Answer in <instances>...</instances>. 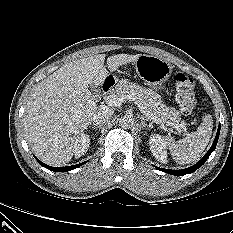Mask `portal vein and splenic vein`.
<instances>
[{
    "instance_id": "1",
    "label": "portal vein and splenic vein",
    "mask_w": 233,
    "mask_h": 233,
    "mask_svg": "<svg viewBox=\"0 0 233 233\" xmlns=\"http://www.w3.org/2000/svg\"><path fill=\"white\" fill-rule=\"evenodd\" d=\"M127 99L129 100H134V98L131 95H128ZM124 101V98L118 97L116 95H109L106 97V103L110 106H120ZM136 105L139 107V110L141 111L142 114L146 115L148 118L152 119L153 122L163 125V122L156 117H153L152 115L149 114V111L145 109L141 103L136 102ZM168 126H173L178 133H181V131L186 132V126L184 124H169Z\"/></svg>"
}]
</instances>
